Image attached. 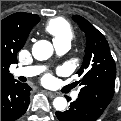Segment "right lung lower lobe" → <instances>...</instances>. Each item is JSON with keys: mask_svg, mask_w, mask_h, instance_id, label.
<instances>
[{"mask_svg": "<svg viewBox=\"0 0 121 121\" xmlns=\"http://www.w3.org/2000/svg\"><path fill=\"white\" fill-rule=\"evenodd\" d=\"M30 90L15 79L1 81V121H14L26 112Z\"/></svg>", "mask_w": 121, "mask_h": 121, "instance_id": "1", "label": "right lung lower lobe"}]
</instances>
